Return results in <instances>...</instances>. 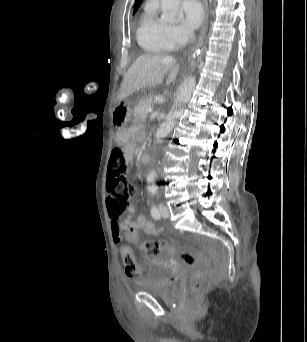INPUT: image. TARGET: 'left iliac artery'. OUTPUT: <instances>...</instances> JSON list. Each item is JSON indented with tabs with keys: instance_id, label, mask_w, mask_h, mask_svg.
<instances>
[{
	"instance_id": "obj_1",
	"label": "left iliac artery",
	"mask_w": 307,
	"mask_h": 342,
	"mask_svg": "<svg viewBox=\"0 0 307 342\" xmlns=\"http://www.w3.org/2000/svg\"><path fill=\"white\" fill-rule=\"evenodd\" d=\"M149 191L151 192V194L153 196L156 195L157 191H158V187L157 186H152ZM151 215L154 219H159L160 218V214H159V211L157 209V207L153 206L152 209H151Z\"/></svg>"
}]
</instances>
